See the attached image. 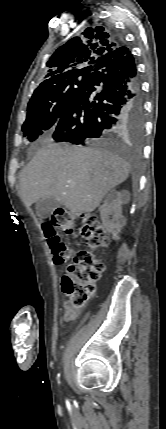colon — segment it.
Wrapping results in <instances>:
<instances>
[{
    "label": "colon",
    "mask_w": 166,
    "mask_h": 429,
    "mask_svg": "<svg viewBox=\"0 0 166 429\" xmlns=\"http://www.w3.org/2000/svg\"><path fill=\"white\" fill-rule=\"evenodd\" d=\"M81 219V235L87 246L91 249L105 247L109 243V237L101 226L96 216L90 214L80 215L77 212L56 209L49 223H44L43 230L51 249L53 260L61 264L73 259L61 280L63 292L68 296L73 307H82L95 293V283L101 277L105 266L95 258L88 250L73 252L60 238L56 229L71 234Z\"/></svg>",
    "instance_id": "1"
}]
</instances>
